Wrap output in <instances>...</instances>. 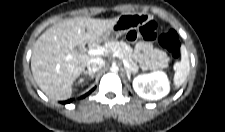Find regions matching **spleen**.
I'll return each mask as SVG.
<instances>
[{"label": "spleen", "mask_w": 225, "mask_h": 132, "mask_svg": "<svg viewBox=\"0 0 225 132\" xmlns=\"http://www.w3.org/2000/svg\"><path fill=\"white\" fill-rule=\"evenodd\" d=\"M174 69V84L176 87H180L185 82L190 71L189 55L185 46L181 47V61L174 65Z\"/></svg>", "instance_id": "spleen-1"}]
</instances>
